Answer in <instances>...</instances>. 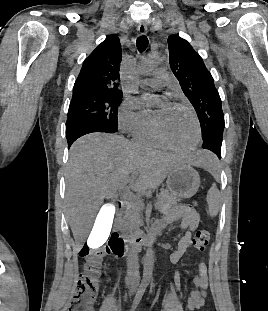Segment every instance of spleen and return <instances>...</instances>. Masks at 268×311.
I'll return each mask as SVG.
<instances>
[{
    "label": "spleen",
    "instance_id": "spleen-1",
    "mask_svg": "<svg viewBox=\"0 0 268 311\" xmlns=\"http://www.w3.org/2000/svg\"><path fill=\"white\" fill-rule=\"evenodd\" d=\"M214 158H211L210 163H214ZM206 201L208 204V214L211 217H215L218 214V211L221 206V194L215 183L212 184L210 189L207 192Z\"/></svg>",
    "mask_w": 268,
    "mask_h": 311
}]
</instances>
